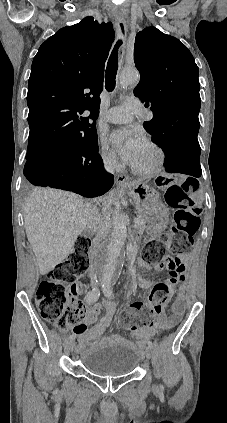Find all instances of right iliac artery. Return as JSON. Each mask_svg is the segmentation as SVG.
Masks as SVG:
<instances>
[{"mask_svg":"<svg viewBox=\"0 0 227 423\" xmlns=\"http://www.w3.org/2000/svg\"><path fill=\"white\" fill-rule=\"evenodd\" d=\"M99 296H100V290L98 288H93L91 291H89L86 294L85 300L88 304H92L98 300ZM75 338H76V334L74 333L69 336L70 340Z\"/></svg>","mask_w":227,"mask_h":423,"instance_id":"1","label":"right iliac artery"}]
</instances>
